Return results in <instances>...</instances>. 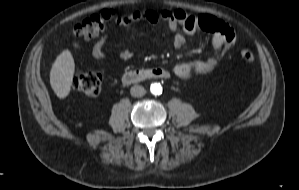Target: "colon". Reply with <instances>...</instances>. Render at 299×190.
<instances>
[{
    "label": "colon",
    "mask_w": 299,
    "mask_h": 190,
    "mask_svg": "<svg viewBox=\"0 0 299 190\" xmlns=\"http://www.w3.org/2000/svg\"><path fill=\"white\" fill-rule=\"evenodd\" d=\"M115 12L104 9L99 13L93 14L84 21L78 23L74 28V34L82 38H91L100 34L114 19ZM207 23L206 17L199 18V24L203 27ZM242 59L252 62L254 55L251 50L244 49L241 53ZM103 76L98 72H83L77 74L72 86L88 96H97L100 93Z\"/></svg>",
    "instance_id": "obj_1"
}]
</instances>
